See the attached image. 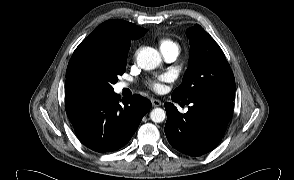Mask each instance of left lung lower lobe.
<instances>
[{
    "instance_id": "1",
    "label": "left lung lower lobe",
    "mask_w": 294,
    "mask_h": 180,
    "mask_svg": "<svg viewBox=\"0 0 294 180\" xmlns=\"http://www.w3.org/2000/svg\"><path fill=\"white\" fill-rule=\"evenodd\" d=\"M174 102H179L172 97ZM181 114L172 103H165L167 122L164 128L172 147L190 155L201 156L212 151L221 141L232 117L234 103L225 99L193 98Z\"/></svg>"
}]
</instances>
